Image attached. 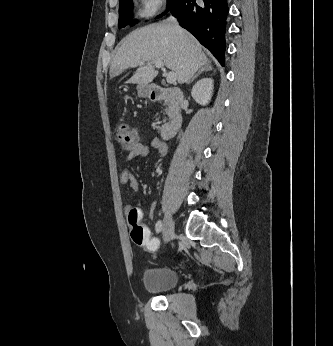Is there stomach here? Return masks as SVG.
I'll return each mask as SVG.
<instances>
[{
	"mask_svg": "<svg viewBox=\"0 0 333 346\" xmlns=\"http://www.w3.org/2000/svg\"><path fill=\"white\" fill-rule=\"evenodd\" d=\"M137 91H138L139 97L146 98L150 94V87L148 85H138Z\"/></svg>",
	"mask_w": 333,
	"mask_h": 346,
	"instance_id": "1",
	"label": "stomach"
}]
</instances>
